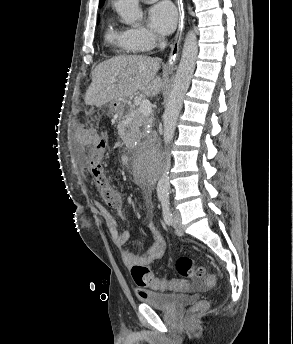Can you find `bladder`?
<instances>
[{"label": "bladder", "instance_id": "bladder-1", "mask_svg": "<svg viewBox=\"0 0 293 344\" xmlns=\"http://www.w3.org/2000/svg\"><path fill=\"white\" fill-rule=\"evenodd\" d=\"M189 300L187 296L181 294L158 291H148L141 296V301L144 304L162 310H174L177 306Z\"/></svg>", "mask_w": 293, "mask_h": 344}]
</instances>
